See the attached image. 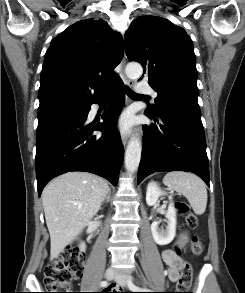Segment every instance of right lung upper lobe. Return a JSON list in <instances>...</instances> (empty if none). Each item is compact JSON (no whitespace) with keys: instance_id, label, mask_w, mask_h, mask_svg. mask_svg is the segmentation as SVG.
<instances>
[{"instance_id":"cb5924a9","label":"right lung upper lobe","mask_w":245,"mask_h":293,"mask_svg":"<svg viewBox=\"0 0 245 293\" xmlns=\"http://www.w3.org/2000/svg\"><path fill=\"white\" fill-rule=\"evenodd\" d=\"M124 55L123 38L103 19L81 20L55 37L41 72L39 108L88 105L119 81L113 73Z\"/></svg>"}]
</instances>
